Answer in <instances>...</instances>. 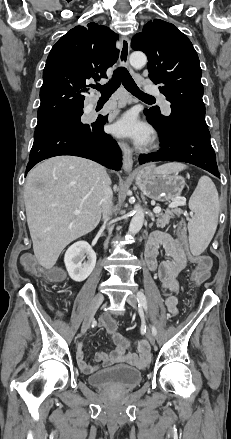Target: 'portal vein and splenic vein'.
<instances>
[{
  "label": "portal vein and splenic vein",
  "mask_w": 231,
  "mask_h": 439,
  "mask_svg": "<svg viewBox=\"0 0 231 439\" xmlns=\"http://www.w3.org/2000/svg\"><path fill=\"white\" fill-rule=\"evenodd\" d=\"M183 204V202H174V203H171L170 205H169V207L170 208H174V207H178V206H180V205H182ZM153 212L155 213V214H159L160 212H161V208L160 207H155L154 209H153ZM80 213V210L79 209H77V210H75V214H79Z\"/></svg>",
  "instance_id": "portal-vein-and-splenic-vein-1"
}]
</instances>
